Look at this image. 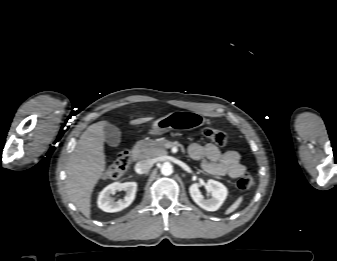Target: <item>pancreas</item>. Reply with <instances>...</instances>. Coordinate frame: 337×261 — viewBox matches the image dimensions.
I'll return each instance as SVG.
<instances>
[{"mask_svg":"<svg viewBox=\"0 0 337 261\" xmlns=\"http://www.w3.org/2000/svg\"><path fill=\"white\" fill-rule=\"evenodd\" d=\"M168 142L165 138L148 140V141H139L137 146L140 149L141 158H154L158 156H163L167 154L166 143Z\"/></svg>","mask_w":337,"mask_h":261,"instance_id":"pancreas-1","label":"pancreas"}]
</instances>
